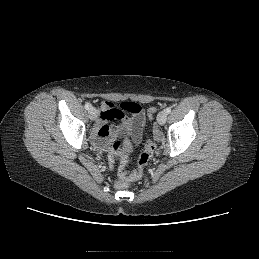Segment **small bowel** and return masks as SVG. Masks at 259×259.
<instances>
[{
    "mask_svg": "<svg viewBox=\"0 0 259 259\" xmlns=\"http://www.w3.org/2000/svg\"><path fill=\"white\" fill-rule=\"evenodd\" d=\"M137 105L139 110L132 113L116 107L111 102H103L101 104L95 132V143L98 147L105 148L113 137H129L134 144L140 143L144 114L141 106ZM127 113H130L131 116H128ZM114 120L120 121V124L115 128L110 125V122Z\"/></svg>",
    "mask_w": 259,
    "mask_h": 259,
    "instance_id": "obj_1",
    "label": "small bowel"
}]
</instances>
